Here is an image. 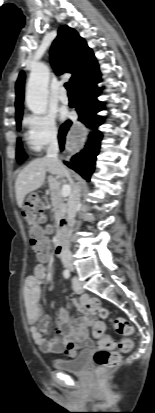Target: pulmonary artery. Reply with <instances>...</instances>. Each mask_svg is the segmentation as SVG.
Instances as JSON below:
<instances>
[{
    "mask_svg": "<svg viewBox=\"0 0 155 413\" xmlns=\"http://www.w3.org/2000/svg\"><path fill=\"white\" fill-rule=\"evenodd\" d=\"M59 99L62 103L68 104L69 103V97L67 95L66 89L65 88H60L59 90Z\"/></svg>",
    "mask_w": 155,
    "mask_h": 413,
    "instance_id": "1",
    "label": "pulmonary artery"
}]
</instances>
